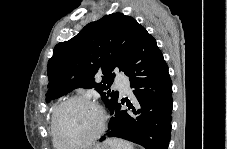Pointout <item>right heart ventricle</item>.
<instances>
[{
  "label": "right heart ventricle",
  "mask_w": 227,
  "mask_h": 149,
  "mask_svg": "<svg viewBox=\"0 0 227 149\" xmlns=\"http://www.w3.org/2000/svg\"><path fill=\"white\" fill-rule=\"evenodd\" d=\"M57 105L53 106L52 110H51V113H50V135H51V139H52V144L55 148H58L59 145L56 143L55 141V138H54V135H53V129H52V117H53V114H54V111L56 109Z\"/></svg>",
  "instance_id": "obj_1"
}]
</instances>
